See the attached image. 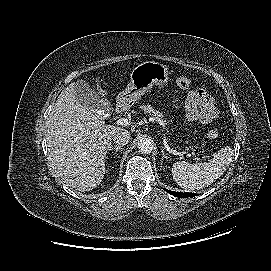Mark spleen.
<instances>
[{
  "label": "spleen",
  "mask_w": 271,
  "mask_h": 271,
  "mask_svg": "<svg viewBox=\"0 0 271 271\" xmlns=\"http://www.w3.org/2000/svg\"><path fill=\"white\" fill-rule=\"evenodd\" d=\"M233 151L230 147L221 148L207 162L189 164L187 161L176 162L172 166V176L183 189L200 190L215 182L229 167Z\"/></svg>",
  "instance_id": "obj_1"
}]
</instances>
